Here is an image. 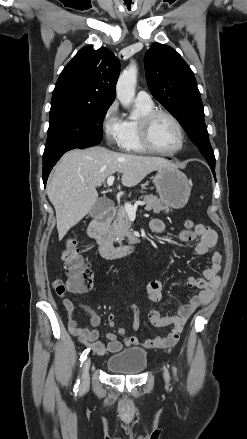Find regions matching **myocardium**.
Here are the masks:
<instances>
[{
    "mask_svg": "<svg viewBox=\"0 0 247 439\" xmlns=\"http://www.w3.org/2000/svg\"><path fill=\"white\" fill-rule=\"evenodd\" d=\"M158 116L168 117L175 124V126L178 130L179 144L173 150H170V151L159 150V149L155 148L151 143V139H150L151 125H152L153 121ZM139 139H140L142 146L144 147V149L146 151L154 153V154L162 155V156H173V155L178 154L184 148L185 142H186V135H185V131H184V128H183L181 122L174 114H172L171 112H169L167 110L154 109V110L150 111L149 113L143 115L140 118V120H139Z\"/></svg>",
    "mask_w": 247,
    "mask_h": 439,
    "instance_id": "f54148a6",
    "label": "myocardium"
}]
</instances>
